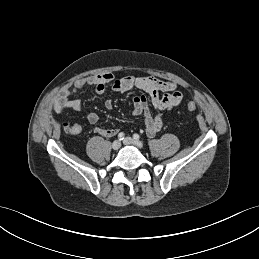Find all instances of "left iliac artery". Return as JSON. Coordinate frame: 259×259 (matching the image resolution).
I'll return each instance as SVG.
<instances>
[{
    "instance_id": "obj_1",
    "label": "left iliac artery",
    "mask_w": 259,
    "mask_h": 259,
    "mask_svg": "<svg viewBox=\"0 0 259 259\" xmlns=\"http://www.w3.org/2000/svg\"><path fill=\"white\" fill-rule=\"evenodd\" d=\"M133 138L136 139V140H139L140 136L138 134H134Z\"/></svg>"
}]
</instances>
